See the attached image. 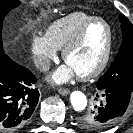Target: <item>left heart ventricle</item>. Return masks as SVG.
<instances>
[{
  "mask_svg": "<svg viewBox=\"0 0 133 133\" xmlns=\"http://www.w3.org/2000/svg\"><path fill=\"white\" fill-rule=\"evenodd\" d=\"M107 39V27L101 22L92 24L81 43L69 54L66 63L76 75L92 71L104 55Z\"/></svg>",
  "mask_w": 133,
  "mask_h": 133,
  "instance_id": "b2bd125f",
  "label": "left heart ventricle"
}]
</instances>
